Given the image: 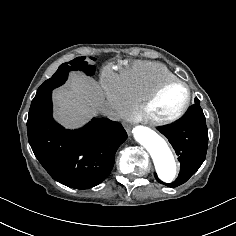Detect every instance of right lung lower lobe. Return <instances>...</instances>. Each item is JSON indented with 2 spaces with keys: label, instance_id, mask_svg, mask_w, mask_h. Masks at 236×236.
Returning a JSON list of instances; mask_svg holds the SVG:
<instances>
[{
  "label": "right lung lower lobe",
  "instance_id": "obj_1",
  "mask_svg": "<svg viewBox=\"0 0 236 236\" xmlns=\"http://www.w3.org/2000/svg\"><path fill=\"white\" fill-rule=\"evenodd\" d=\"M51 94L31 103L27 121L31 148L54 180L76 189L94 187L110 174L127 133L120 123L107 118H94L79 130H66L52 118Z\"/></svg>",
  "mask_w": 236,
  "mask_h": 236
}]
</instances>
